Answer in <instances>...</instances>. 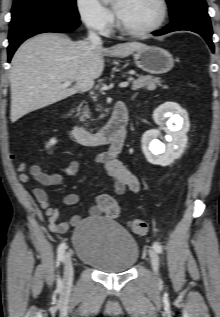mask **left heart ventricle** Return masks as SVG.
<instances>
[{
	"label": "left heart ventricle",
	"mask_w": 220,
	"mask_h": 317,
	"mask_svg": "<svg viewBox=\"0 0 220 317\" xmlns=\"http://www.w3.org/2000/svg\"><path fill=\"white\" fill-rule=\"evenodd\" d=\"M118 19L131 29H143L153 25L160 16L157 0H122Z\"/></svg>",
	"instance_id": "left-heart-ventricle-1"
}]
</instances>
